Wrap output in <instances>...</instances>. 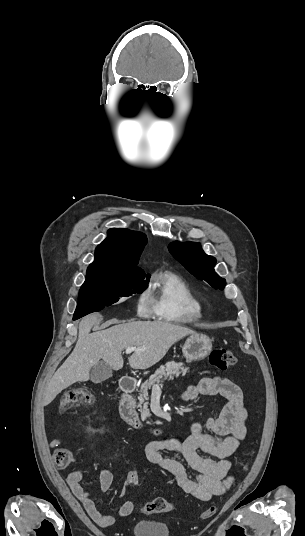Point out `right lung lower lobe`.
<instances>
[{
    "instance_id": "1",
    "label": "right lung lower lobe",
    "mask_w": 305,
    "mask_h": 536,
    "mask_svg": "<svg viewBox=\"0 0 305 536\" xmlns=\"http://www.w3.org/2000/svg\"><path fill=\"white\" fill-rule=\"evenodd\" d=\"M76 319H79V318L74 316V317H73V320H76Z\"/></svg>"
}]
</instances>
